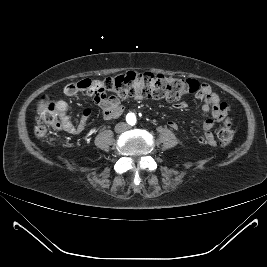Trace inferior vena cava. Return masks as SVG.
<instances>
[{
    "label": "inferior vena cava",
    "mask_w": 267,
    "mask_h": 267,
    "mask_svg": "<svg viewBox=\"0 0 267 267\" xmlns=\"http://www.w3.org/2000/svg\"><path fill=\"white\" fill-rule=\"evenodd\" d=\"M127 129H128V124H126L124 122L118 123L115 126V131L117 133H122V132L126 131Z\"/></svg>",
    "instance_id": "inferior-vena-cava-1"
}]
</instances>
